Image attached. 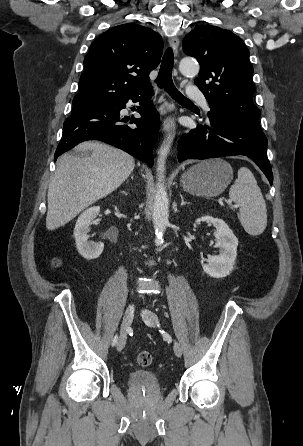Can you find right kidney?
<instances>
[{"label":"right kidney","mask_w":303,"mask_h":446,"mask_svg":"<svg viewBox=\"0 0 303 446\" xmlns=\"http://www.w3.org/2000/svg\"><path fill=\"white\" fill-rule=\"evenodd\" d=\"M99 212H100L99 206H94L85 210L78 217V220L74 228V238L77 250L79 254L87 260L98 258L104 249V244L102 242L96 243L88 240L90 225L92 221L97 217Z\"/></svg>","instance_id":"obj_1"}]
</instances>
